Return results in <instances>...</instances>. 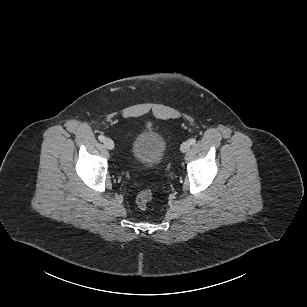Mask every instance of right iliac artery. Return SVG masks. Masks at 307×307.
I'll list each match as a JSON object with an SVG mask.
<instances>
[{
  "label": "right iliac artery",
  "instance_id": "1",
  "mask_svg": "<svg viewBox=\"0 0 307 307\" xmlns=\"http://www.w3.org/2000/svg\"><path fill=\"white\" fill-rule=\"evenodd\" d=\"M98 139H99L101 142H103V141L105 140V137H104L103 135H99V136H98Z\"/></svg>",
  "mask_w": 307,
  "mask_h": 307
}]
</instances>
